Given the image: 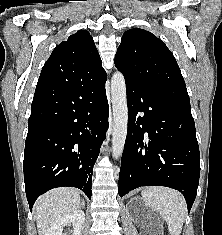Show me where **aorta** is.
I'll list each match as a JSON object with an SVG mask.
<instances>
[{"label":"aorta","mask_w":222,"mask_h":235,"mask_svg":"<svg viewBox=\"0 0 222 235\" xmlns=\"http://www.w3.org/2000/svg\"><path fill=\"white\" fill-rule=\"evenodd\" d=\"M113 108L112 155L118 159L123 152L128 122L127 94L125 79L122 73L115 72L111 80Z\"/></svg>","instance_id":"obj_1"}]
</instances>
